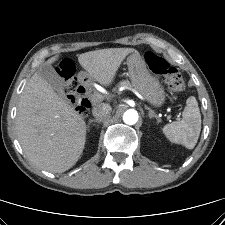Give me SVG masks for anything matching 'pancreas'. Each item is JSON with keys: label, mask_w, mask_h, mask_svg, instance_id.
Masks as SVG:
<instances>
[{"label": "pancreas", "mask_w": 225, "mask_h": 225, "mask_svg": "<svg viewBox=\"0 0 225 225\" xmlns=\"http://www.w3.org/2000/svg\"><path fill=\"white\" fill-rule=\"evenodd\" d=\"M119 85L120 86H127V87L128 86H131L130 83H129V81H122V82L119 83Z\"/></svg>", "instance_id": "pancreas-1"}]
</instances>
